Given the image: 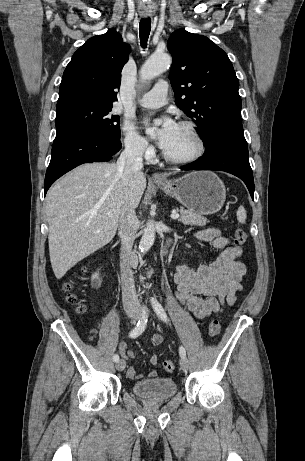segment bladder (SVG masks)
Returning <instances> with one entry per match:
<instances>
[{
    "instance_id": "1",
    "label": "bladder",
    "mask_w": 305,
    "mask_h": 461,
    "mask_svg": "<svg viewBox=\"0 0 305 461\" xmlns=\"http://www.w3.org/2000/svg\"><path fill=\"white\" fill-rule=\"evenodd\" d=\"M132 391L139 397L149 400H168L178 392L177 385L172 378L156 377L135 382Z\"/></svg>"
}]
</instances>
